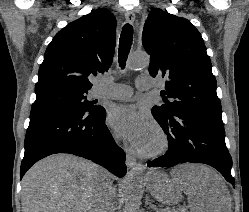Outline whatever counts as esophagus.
Segmentation results:
<instances>
[{
	"label": "esophagus",
	"instance_id": "obj_1",
	"mask_svg": "<svg viewBox=\"0 0 249 212\" xmlns=\"http://www.w3.org/2000/svg\"><path fill=\"white\" fill-rule=\"evenodd\" d=\"M135 18L136 17H135L134 12H130V11L125 12V19L129 24L134 23ZM135 164H136L135 157H133V155L126 154V165H127V167L130 169V168L134 167Z\"/></svg>",
	"mask_w": 249,
	"mask_h": 212
}]
</instances>
